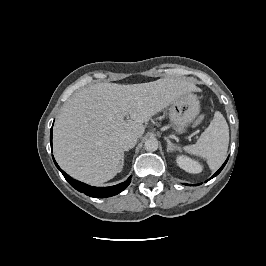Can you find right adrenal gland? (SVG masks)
I'll return each mask as SVG.
<instances>
[{
    "label": "right adrenal gland",
    "instance_id": "right-adrenal-gland-1",
    "mask_svg": "<svg viewBox=\"0 0 266 266\" xmlns=\"http://www.w3.org/2000/svg\"><path fill=\"white\" fill-rule=\"evenodd\" d=\"M125 151H128V149ZM123 166H124V155H123L122 160H121L120 171L122 170Z\"/></svg>",
    "mask_w": 266,
    "mask_h": 266
}]
</instances>
